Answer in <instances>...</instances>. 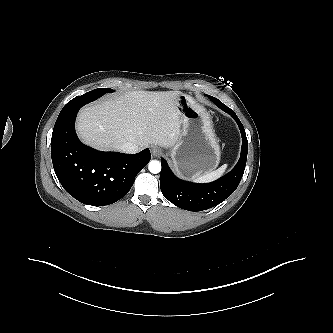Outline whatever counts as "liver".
I'll list each match as a JSON object with an SVG mask.
<instances>
[{
	"mask_svg": "<svg viewBox=\"0 0 333 333\" xmlns=\"http://www.w3.org/2000/svg\"><path fill=\"white\" fill-rule=\"evenodd\" d=\"M179 91H130L83 108L76 130L81 140L100 150H120L131 142L172 147L180 135Z\"/></svg>",
	"mask_w": 333,
	"mask_h": 333,
	"instance_id": "6515ba94",
	"label": "liver"
}]
</instances>
